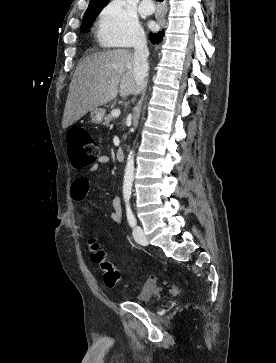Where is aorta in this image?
<instances>
[{
	"mask_svg": "<svg viewBox=\"0 0 276 363\" xmlns=\"http://www.w3.org/2000/svg\"><path fill=\"white\" fill-rule=\"evenodd\" d=\"M134 180V151H131L125 167L123 197L128 200L131 196L132 183Z\"/></svg>",
	"mask_w": 276,
	"mask_h": 363,
	"instance_id": "obj_1",
	"label": "aorta"
}]
</instances>
